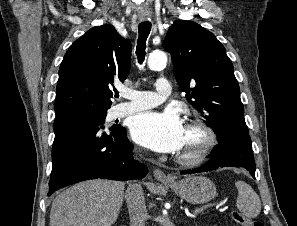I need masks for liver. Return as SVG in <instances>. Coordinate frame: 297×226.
<instances>
[{
	"instance_id": "liver-1",
	"label": "liver",
	"mask_w": 297,
	"mask_h": 226,
	"mask_svg": "<svg viewBox=\"0 0 297 226\" xmlns=\"http://www.w3.org/2000/svg\"><path fill=\"white\" fill-rule=\"evenodd\" d=\"M125 184L89 180L59 194L50 211V226H112L118 217Z\"/></svg>"
}]
</instances>
